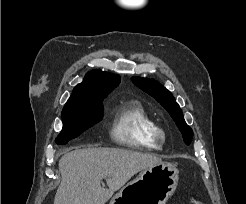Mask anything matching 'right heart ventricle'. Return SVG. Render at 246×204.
I'll return each mask as SVG.
<instances>
[{"instance_id":"1","label":"right heart ventricle","mask_w":246,"mask_h":204,"mask_svg":"<svg viewBox=\"0 0 246 204\" xmlns=\"http://www.w3.org/2000/svg\"><path fill=\"white\" fill-rule=\"evenodd\" d=\"M159 125L145 107L137 101L119 105L113 113L110 137L119 146L137 150L161 147L155 134Z\"/></svg>"}]
</instances>
